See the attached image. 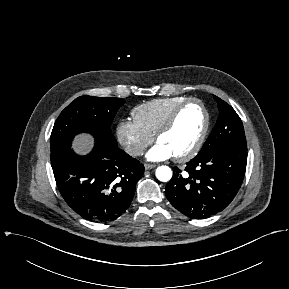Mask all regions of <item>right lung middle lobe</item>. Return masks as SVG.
<instances>
[{
    "label": "right lung middle lobe",
    "instance_id": "dd1d6c3e",
    "mask_svg": "<svg viewBox=\"0 0 289 289\" xmlns=\"http://www.w3.org/2000/svg\"><path fill=\"white\" fill-rule=\"evenodd\" d=\"M124 103L125 100L121 98L92 96H81L71 102L57 118L51 133V163L70 149L73 137L82 132H88L96 140L117 146L111 124Z\"/></svg>",
    "mask_w": 289,
    "mask_h": 289
}]
</instances>
